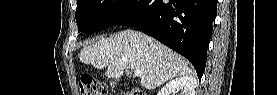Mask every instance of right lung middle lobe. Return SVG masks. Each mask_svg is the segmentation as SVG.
Returning <instances> with one entry per match:
<instances>
[{
    "label": "right lung middle lobe",
    "instance_id": "1",
    "mask_svg": "<svg viewBox=\"0 0 277 95\" xmlns=\"http://www.w3.org/2000/svg\"><path fill=\"white\" fill-rule=\"evenodd\" d=\"M141 0H80L76 8L78 32L93 33L116 24Z\"/></svg>",
    "mask_w": 277,
    "mask_h": 95
}]
</instances>
